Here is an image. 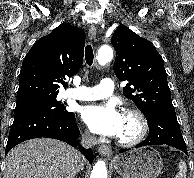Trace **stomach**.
<instances>
[{"label": "stomach", "instance_id": "stomach-1", "mask_svg": "<svg viewBox=\"0 0 194 178\" xmlns=\"http://www.w3.org/2000/svg\"><path fill=\"white\" fill-rule=\"evenodd\" d=\"M113 165L123 178H157L163 161L157 150L147 146L116 156Z\"/></svg>", "mask_w": 194, "mask_h": 178}]
</instances>
